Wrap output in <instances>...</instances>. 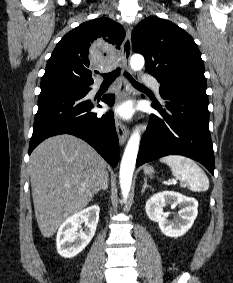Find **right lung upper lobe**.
<instances>
[{"label":"right lung upper lobe","instance_id":"obj_1","mask_svg":"<svg viewBox=\"0 0 233 283\" xmlns=\"http://www.w3.org/2000/svg\"><path fill=\"white\" fill-rule=\"evenodd\" d=\"M124 38L123 27L109 18L82 23L56 45L41 82L63 80L89 87L94 70L110 65L109 54H115Z\"/></svg>","mask_w":233,"mask_h":283}]
</instances>
